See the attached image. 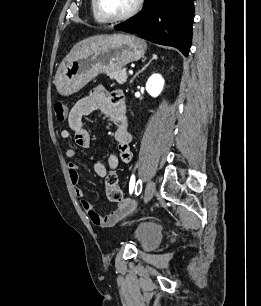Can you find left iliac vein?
Here are the masks:
<instances>
[{"label":"left iliac vein","instance_id":"4c4485c4","mask_svg":"<svg viewBox=\"0 0 261 306\" xmlns=\"http://www.w3.org/2000/svg\"><path fill=\"white\" fill-rule=\"evenodd\" d=\"M155 189H156V185H155L154 181L149 180L147 182L145 192H144V197H143L145 203H148L152 199V197L155 193Z\"/></svg>","mask_w":261,"mask_h":306}]
</instances>
